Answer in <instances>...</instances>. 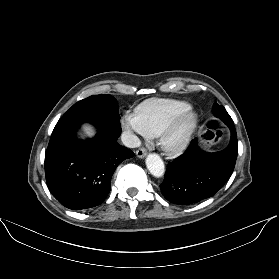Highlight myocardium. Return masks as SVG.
<instances>
[{
	"mask_svg": "<svg viewBox=\"0 0 279 279\" xmlns=\"http://www.w3.org/2000/svg\"><path fill=\"white\" fill-rule=\"evenodd\" d=\"M197 125L198 116L192 108L179 113L159 133V146L170 155L182 152L188 146Z\"/></svg>",
	"mask_w": 279,
	"mask_h": 279,
	"instance_id": "f54148a6",
	"label": "myocardium"
}]
</instances>
